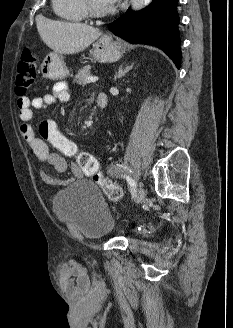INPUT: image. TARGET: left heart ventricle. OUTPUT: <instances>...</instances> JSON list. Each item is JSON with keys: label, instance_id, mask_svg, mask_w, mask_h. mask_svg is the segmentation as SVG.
Segmentation results:
<instances>
[{"label": "left heart ventricle", "instance_id": "obj_1", "mask_svg": "<svg viewBox=\"0 0 233 328\" xmlns=\"http://www.w3.org/2000/svg\"><path fill=\"white\" fill-rule=\"evenodd\" d=\"M93 4L101 9H107L110 8L111 6L105 3L103 0H92Z\"/></svg>", "mask_w": 233, "mask_h": 328}]
</instances>
